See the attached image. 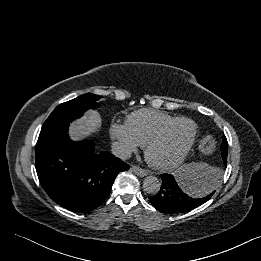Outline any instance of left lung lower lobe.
Wrapping results in <instances>:
<instances>
[{
    "mask_svg": "<svg viewBox=\"0 0 261 261\" xmlns=\"http://www.w3.org/2000/svg\"><path fill=\"white\" fill-rule=\"evenodd\" d=\"M222 158L226 165L227 155L224 154ZM219 176L220 172L216 170L196 177L160 175L162 179L160 191L149 198V201L163 213L173 214L192 210L212 197Z\"/></svg>",
    "mask_w": 261,
    "mask_h": 261,
    "instance_id": "left-lung-lower-lobe-1",
    "label": "left lung lower lobe"
}]
</instances>
